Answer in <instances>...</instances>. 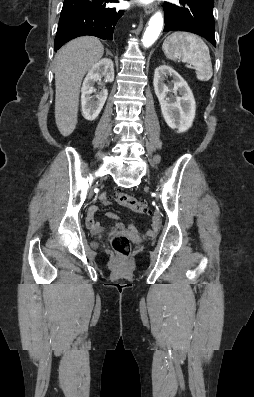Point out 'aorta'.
I'll return each mask as SVG.
<instances>
[{
	"instance_id": "762f6f07",
	"label": "aorta",
	"mask_w": 254,
	"mask_h": 397,
	"mask_svg": "<svg viewBox=\"0 0 254 397\" xmlns=\"http://www.w3.org/2000/svg\"><path fill=\"white\" fill-rule=\"evenodd\" d=\"M163 27V16L161 12L155 13L149 20L148 27L142 38L144 47L151 46L158 38Z\"/></svg>"
}]
</instances>
